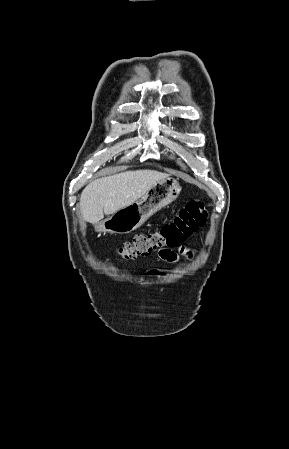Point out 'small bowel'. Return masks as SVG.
Instances as JSON below:
<instances>
[{
    "label": "small bowel",
    "instance_id": "small-bowel-1",
    "mask_svg": "<svg viewBox=\"0 0 289 449\" xmlns=\"http://www.w3.org/2000/svg\"><path fill=\"white\" fill-rule=\"evenodd\" d=\"M159 257L168 262V263H176L179 260L181 255L191 257L192 253L187 250L185 247H179L177 250L172 249H161L158 252Z\"/></svg>",
    "mask_w": 289,
    "mask_h": 449
}]
</instances>
